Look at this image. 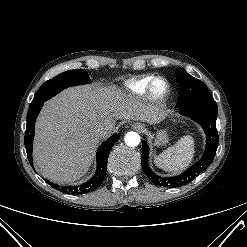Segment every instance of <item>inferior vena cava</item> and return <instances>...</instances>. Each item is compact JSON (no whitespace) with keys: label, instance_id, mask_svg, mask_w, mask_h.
<instances>
[{"label":"inferior vena cava","instance_id":"inferior-vena-cava-1","mask_svg":"<svg viewBox=\"0 0 247 247\" xmlns=\"http://www.w3.org/2000/svg\"><path fill=\"white\" fill-rule=\"evenodd\" d=\"M94 132L96 135L102 137V136H105L109 132V127L103 123H99L95 126Z\"/></svg>","mask_w":247,"mask_h":247}]
</instances>
